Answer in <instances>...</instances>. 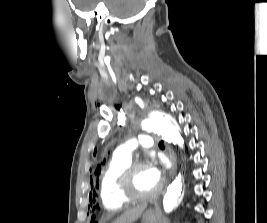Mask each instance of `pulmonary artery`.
<instances>
[{
  "label": "pulmonary artery",
  "instance_id": "pulmonary-artery-1",
  "mask_svg": "<svg viewBox=\"0 0 267 223\" xmlns=\"http://www.w3.org/2000/svg\"><path fill=\"white\" fill-rule=\"evenodd\" d=\"M137 143H140L143 147H152L154 140L151 134L145 133L138 135L120 145L115 150V156L131 160L132 154L136 149Z\"/></svg>",
  "mask_w": 267,
  "mask_h": 223
}]
</instances>
